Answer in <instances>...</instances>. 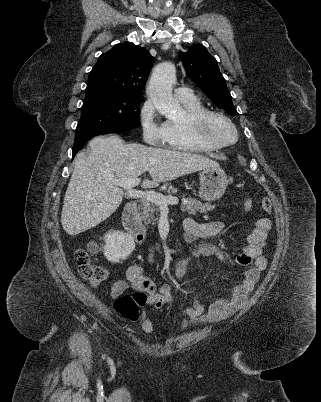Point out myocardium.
Masks as SVG:
<instances>
[{"label": "myocardium", "instance_id": "myocardium-1", "mask_svg": "<svg viewBox=\"0 0 321 402\" xmlns=\"http://www.w3.org/2000/svg\"><path fill=\"white\" fill-rule=\"evenodd\" d=\"M220 118L225 121L233 130L234 138L230 142H220L214 139L207 131V126L212 118ZM193 131L198 139L214 149H222L235 144L238 140V130L234 122L224 113L217 110L206 109L192 119Z\"/></svg>", "mask_w": 321, "mask_h": 402}]
</instances>
